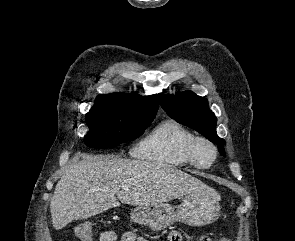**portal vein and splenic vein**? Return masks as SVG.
<instances>
[{
    "mask_svg": "<svg viewBox=\"0 0 295 241\" xmlns=\"http://www.w3.org/2000/svg\"><path fill=\"white\" fill-rule=\"evenodd\" d=\"M119 188L126 189V188H128V187L122 185V186H120ZM119 188H118V189H119Z\"/></svg>",
    "mask_w": 295,
    "mask_h": 241,
    "instance_id": "1",
    "label": "portal vein and splenic vein"
}]
</instances>
